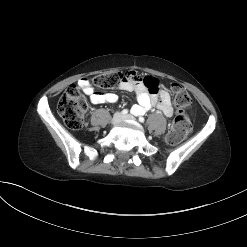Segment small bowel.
Listing matches in <instances>:
<instances>
[{
  "label": "small bowel",
  "mask_w": 247,
  "mask_h": 247,
  "mask_svg": "<svg viewBox=\"0 0 247 247\" xmlns=\"http://www.w3.org/2000/svg\"><path fill=\"white\" fill-rule=\"evenodd\" d=\"M125 75L119 89L135 94L138 103L131 108L133 114L143 115L152 106H156L165 116L173 115L170 93L165 88L159 87L157 79L151 76L141 77L135 71L127 72ZM77 85L89 96L92 104L113 103L118 99L113 93L96 91L85 78L80 79Z\"/></svg>",
  "instance_id": "1"
}]
</instances>
